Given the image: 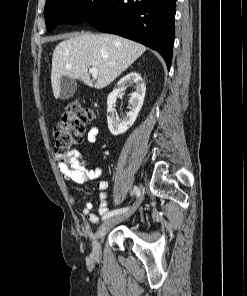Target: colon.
Wrapping results in <instances>:
<instances>
[{
  "instance_id": "5ec220e1",
  "label": "colon",
  "mask_w": 247,
  "mask_h": 296,
  "mask_svg": "<svg viewBox=\"0 0 247 296\" xmlns=\"http://www.w3.org/2000/svg\"><path fill=\"white\" fill-rule=\"evenodd\" d=\"M93 116V112L79 102L68 104L60 121L54 127L55 152L64 155L71 147L78 144Z\"/></svg>"
}]
</instances>
